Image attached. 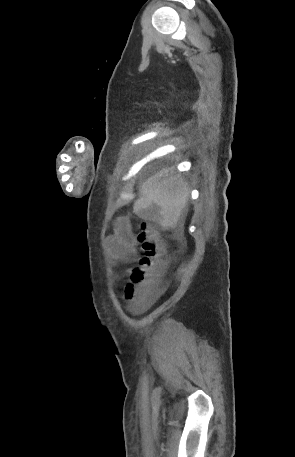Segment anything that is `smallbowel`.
Here are the masks:
<instances>
[{"label":"small bowel","instance_id":"small-bowel-1","mask_svg":"<svg viewBox=\"0 0 295 457\" xmlns=\"http://www.w3.org/2000/svg\"><path fill=\"white\" fill-rule=\"evenodd\" d=\"M109 249L115 260L123 263L132 262L137 255L138 239L132 230L128 218L120 217L114 224L113 233L107 240ZM166 290L163 282L154 283L147 299L135 309L143 310L154 302Z\"/></svg>","mask_w":295,"mask_h":457}]
</instances>
